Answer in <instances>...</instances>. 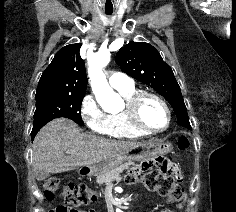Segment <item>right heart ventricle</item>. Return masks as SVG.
<instances>
[{"instance_id":"e07e8e85","label":"right heart ventricle","mask_w":236,"mask_h":212,"mask_svg":"<svg viewBox=\"0 0 236 212\" xmlns=\"http://www.w3.org/2000/svg\"><path fill=\"white\" fill-rule=\"evenodd\" d=\"M120 95L127 101L132 95L137 93V89L134 84L126 88L116 89ZM105 135L117 138V139H133L144 137L147 134L137 130L134 128L123 109L122 111L115 114H108L106 127H105Z\"/></svg>"}]
</instances>
